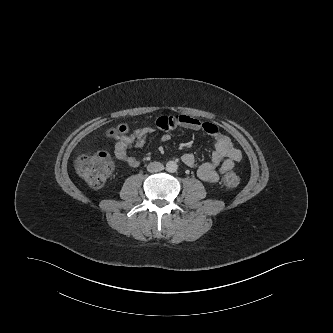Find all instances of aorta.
<instances>
[{"mask_svg":"<svg viewBox=\"0 0 333 333\" xmlns=\"http://www.w3.org/2000/svg\"><path fill=\"white\" fill-rule=\"evenodd\" d=\"M177 169H178V165H177V163L175 161H169V162H167V164H166V170H167V172L174 173V172L177 171Z\"/></svg>","mask_w":333,"mask_h":333,"instance_id":"aorta-1","label":"aorta"}]
</instances>
